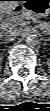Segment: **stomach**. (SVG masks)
<instances>
[{
  "label": "stomach",
  "mask_w": 50,
  "mask_h": 111,
  "mask_svg": "<svg viewBox=\"0 0 50 111\" xmlns=\"http://www.w3.org/2000/svg\"><path fill=\"white\" fill-rule=\"evenodd\" d=\"M24 10H28L35 17H47L50 14V0H25Z\"/></svg>",
  "instance_id": "0dacf381"
}]
</instances>
